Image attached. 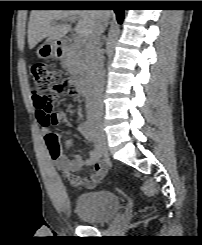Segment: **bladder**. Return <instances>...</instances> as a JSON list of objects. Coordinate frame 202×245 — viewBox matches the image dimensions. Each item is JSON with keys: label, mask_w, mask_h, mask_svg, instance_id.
<instances>
[{"label": "bladder", "mask_w": 202, "mask_h": 245, "mask_svg": "<svg viewBox=\"0 0 202 245\" xmlns=\"http://www.w3.org/2000/svg\"><path fill=\"white\" fill-rule=\"evenodd\" d=\"M74 208L82 222L100 225L119 213L121 201L114 191L89 190L78 196Z\"/></svg>", "instance_id": "31cf9c89"}]
</instances>
